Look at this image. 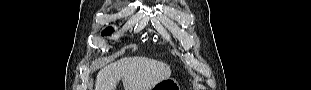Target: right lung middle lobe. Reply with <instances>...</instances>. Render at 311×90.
Returning <instances> with one entry per match:
<instances>
[{
    "instance_id": "1",
    "label": "right lung middle lobe",
    "mask_w": 311,
    "mask_h": 90,
    "mask_svg": "<svg viewBox=\"0 0 311 90\" xmlns=\"http://www.w3.org/2000/svg\"><path fill=\"white\" fill-rule=\"evenodd\" d=\"M110 33H112V28H111V27L106 28V29L102 32V34H105V35H109Z\"/></svg>"
}]
</instances>
